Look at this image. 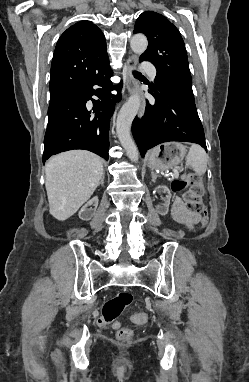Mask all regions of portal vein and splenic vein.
I'll return each mask as SVG.
<instances>
[{"label": "portal vein and splenic vein", "instance_id": "1", "mask_svg": "<svg viewBox=\"0 0 249 382\" xmlns=\"http://www.w3.org/2000/svg\"><path fill=\"white\" fill-rule=\"evenodd\" d=\"M179 175V171L178 170H174V176H178Z\"/></svg>", "mask_w": 249, "mask_h": 382}]
</instances>
